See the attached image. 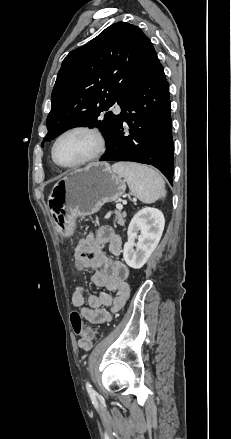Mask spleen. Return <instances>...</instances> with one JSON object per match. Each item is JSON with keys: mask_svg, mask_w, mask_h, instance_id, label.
<instances>
[{"mask_svg": "<svg viewBox=\"0 0 231 439\" xmlns=\"http://www.w3.org/2000/svg\"><path fill=\"white\" fill-rule=\"evenodd\" d=\"M112 169L124 177L132 194L143 203H153L166 196L165 182L155 170L136 163H116Z\"/></svg>", "mask_w": 231, "mask_h": 439, "instance_id": "obj_1", "label": "spleen"}]
</instances>
